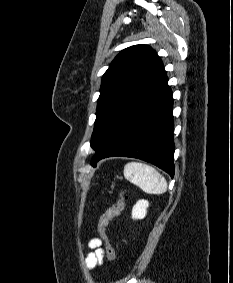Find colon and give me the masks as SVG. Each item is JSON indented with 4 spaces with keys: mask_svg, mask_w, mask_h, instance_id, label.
Masks as SVG:
<instances>
[{
    "mask_svg": "<svg viewBox=\"0 0 233 283\" xmlns=\"http://www.w3.org/2000/svg\"><path fill=\"white\" fill-rule=\"evenodd\" d=\"M126 194L124 190H120L118 193V198L115 204H113L111 207H109L100 217L99 223H98V231L103 239L105 252L107 255V258L109 261L114 262L116 260V253L112 245L110 244L107 236V227L109 223L118 215L121 214V212L125 208L126 204Z\"/></svg>",
    "mask_w": 233,
    "mask_h": 283,
    "instance_id": "5ec220e1",
    "label": "colon"
}]
</instances>
